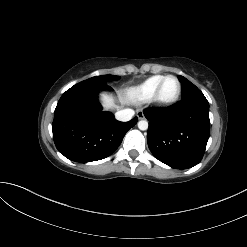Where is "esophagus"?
<instances>
[{"label":"esophagus","instance_id":"esophagus-1","mask_svg":"<svg viewBox=\"0 0 247 247\" xmlns=\"http://www.w3.org/2000/svg\"><path fill=\"white\" fill-rule=\"evenodd\" d=\"M137 117H138V119H144L145 118L144 113L142 111L137 112Z\"/></svg>","mask_w":247,"mask_h":247}]
</instances>
